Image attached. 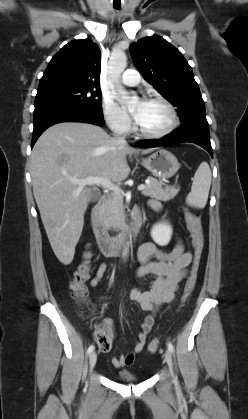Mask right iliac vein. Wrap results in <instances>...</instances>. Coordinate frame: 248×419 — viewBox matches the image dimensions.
Listing matches in <instances>:
<instances>
[{
    "mask_svg": "<svg viewBox=\"0 0 248 419\" xmlns=\"http://www.w3.org/2000/svg\"><path fill=\"white\" fill-rule=\"evenodd\" d=\"M96 361H97V354L95 352H92L89 356L90 370H92L95 367Z\"/></svg>",
    "mask_w": 248,
    "mask_h": 419,
    "instance_id": "obj_1",
    "label": "right iliac vein"
}]
</instances>
